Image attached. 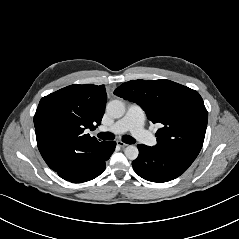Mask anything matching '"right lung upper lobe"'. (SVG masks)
<instances>
[{
  "label": "right lung upper lobe",
  "mask_w": 239,
  "mask_h": 239,
  "mask_svg": "<svg viewBox=\"0 0 239 239\" xmlns=\"http://www.w3.org/2000/svg\"><path fill=\"white\" fill-rule=\"evenodd\" d=\"M104 85H70L43 97L34 116L38 149L53 170L71 151L90 152L103 142L85 134L101 123L106 106Z\"/></svg>",
  "instance_id": "obj_1"
}]
</instances>
